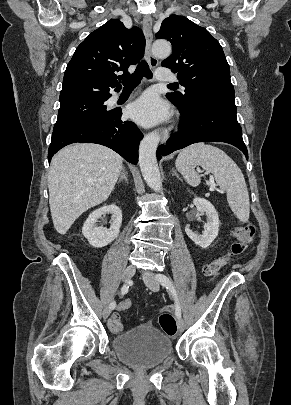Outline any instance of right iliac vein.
I'll return each instance as SVG.
<instances>
[{"mask_svg":"<svg viewBox=\"0 0 291 405\" xmlns=\"http://www.w3.org/2000/svg\"><path fill=\"white\" fill-rule=\"evenodd\" d=\"M135 274V267L133 265H129L124 273H123V282L128 281L129 279H131V277ZM111 313V308L110 305L105 306L104 310H103V317L106 319Z\"/></svg>","mask_w":291,"mask_h":405,"instance_id":"1","label":"right iliac vein"}]
</instances>
